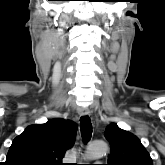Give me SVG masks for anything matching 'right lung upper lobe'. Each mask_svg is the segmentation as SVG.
Segmentation results:
<instances>
[{
  "mask_svg": "<svg viewBox=\"0 0 165 165\" xmlns=\"http://www.w3.org/2000/svg\"><path fill=\"white\" fill-rule=\"evenodd\" d=\"M75 137L74 122L62 118L28 126L12 142L5 165H63L62 158Z\"/></svg>",
  "mask_w": 165,
  "mask_h": 165,
  "instance_id": "1",
  "label": "right lung upper lobe"
}]
</instances>
